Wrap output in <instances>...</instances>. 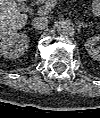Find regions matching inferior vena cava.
<instances>
[{"label":"inferior vena cava","instance_id":"obj_1","mask_svg":"<svg viewBox=\"0 0 100 118\" xmlns=\"http://www.w3.org/2000/svg\"><path fill=\"white\" fill-rule=\"evenodd\" d=\"M48 25H49V20L47 17H35L32 20V26L38 30H43L47 28Z\"/></svg>","mask_w":100,"mask_h":118}]
</instances>
